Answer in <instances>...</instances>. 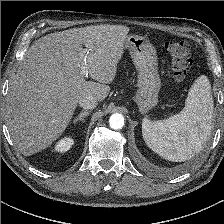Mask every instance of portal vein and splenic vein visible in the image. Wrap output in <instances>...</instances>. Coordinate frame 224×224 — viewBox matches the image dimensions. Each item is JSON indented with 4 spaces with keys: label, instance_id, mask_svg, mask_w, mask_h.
Segmentation results:
<instances>
[{
    "label": "portal vein and splenic vein",
    "instance_id": "portal-vein-and-splenic-vein-1",
    "mask_svg": "<svg viewBox=\"0 0 224 224\" xmlns=\"http://www.w3.org/2000/svg\"><path fill=\"white\" fill-rule=\"evenodd\" d=\"M87 53H88L87 49H82L80 51V58H81V61H80L81 62V71H80V73L83 76L88 75V67H87L86 60H85Z\"/></svg>",
    "mask_w": 224,
    "mask_h": 224
}]
</instances>
